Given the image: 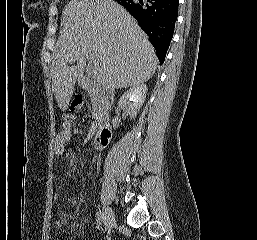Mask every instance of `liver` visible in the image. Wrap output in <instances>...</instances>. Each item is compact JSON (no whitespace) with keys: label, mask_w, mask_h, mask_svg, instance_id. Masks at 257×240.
<instances>
[{"label":"liver","mask_w":257,"mask_h":240,"mask_svg":"<svg viewBox=\"0 0 257 240\" xmlns=\"http://www.w3.org/2000/svg\"><path fill=\"white\" fill-rule=\"evenodd\" d=\"M61 34L52 63V90L65 111L86 56L99 65L105 87L127 88L148 81L158 59L135 19L113 0H71L61 17ZM77 62L76 66H69Z\"/></svg>","instance_id":"obj_1"}]
</instances>
